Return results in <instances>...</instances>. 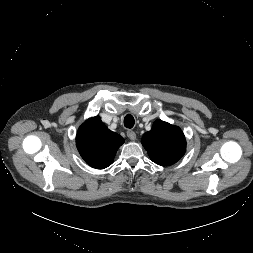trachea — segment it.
Masks as SVG:
<instances>
[{"label":"trachea","instance_id":"obj_1","mask_svg":"<svg viewBox=\"0 0 253 253\" xmlns=\"http://www.w3.org/2000/svg\"><path fill=\"white\" fill-rule=\"evenodd\" d=\"M135 124L134 117L131 114H127L124 118V126L126 128H132Z\"/></svg>","mask_w":253,"mask_h":253}]
</instances>
